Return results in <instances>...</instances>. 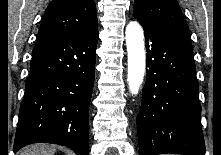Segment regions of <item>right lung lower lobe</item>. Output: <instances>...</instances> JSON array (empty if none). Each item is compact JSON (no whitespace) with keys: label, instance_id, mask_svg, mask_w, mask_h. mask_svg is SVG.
<instances>
[{"label":"right lung lower lobe","instance_id":"right-lung-lower-lobe-1","mask_svg":"<svg viewBox=\"0 0 221 155\" xmlns=\"http://www.w3.org/2000/svg\"><path fill=\"white\" fill-rule=\"evenodd\" d=\"M98 28L38 38L20 106L14 152L45 142L88 155V113Z\"/></svg>","mask_w":221,"mask_h":155}]
</instances>
